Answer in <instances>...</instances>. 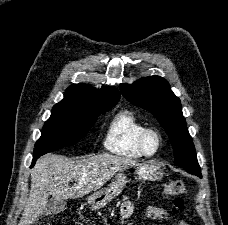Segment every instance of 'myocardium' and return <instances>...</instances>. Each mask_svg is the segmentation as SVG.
Segmentation results:
<instances>
[{"label":"myocardium","instance_id":"myocardium-1","mask_svg":"<svg viewBox=\"0 0 228 225\" xmlns=\"http://www.w3.org/2000/svg\"><path fill=\"white\" fill-rule=\"evenodd\" d=\"M152 138L155 139V148L153 150H150L149 145ZM140 144L143 151L148 156H154L161 150L163 138L161 133L157 129L147 128L141 135Z\"/></svg>","mask_w":228,"mask_h":225}]
</instances>
